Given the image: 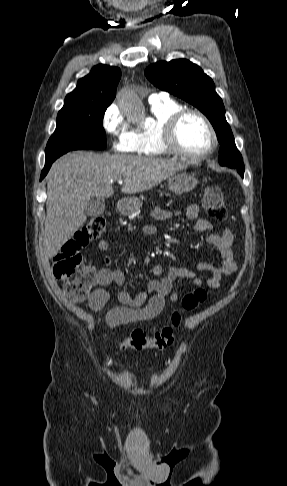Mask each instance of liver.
<instances>
[{
	"instance_id": "liver-1",
	"label": "liver",
	"mask_w": 287,
	"mask_h": 486,
	"mask_svg": "<svg viewBox=\"0 0 287 486\" xmlns=\"http://www.w3.org/2000/svg\"><path fill=\"white\" fill-rule=\"evenodd\" d=\"M187 163L77 151L59 158L47 177L45 253L54 257L86 222L85 207L93 197L113 196V181L123 180L121 192L139 193L186 169Z\"/></svg>"
}]
</instances>
